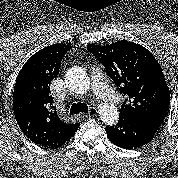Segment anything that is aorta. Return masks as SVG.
I'll return each instance as SVG.
<instances>
[{
  "instance_id": "762f6f07",
  "label": "aorta",
  "mask_w": 178,
  "mask_h": 178,
  "mask_svg": "<svg viewBox=\"0 0 178 178\" xmlns=\"http://www.w3.org/2000/svg\"><path fill=\"white\" fill-rule=\"evenodd\" d=\"M65 81L71 91L79 94L85 93L90 87L88 74L80 67L70 69L66 74ZM98 113L101 121L108 125L115 124L119 117L118 109L108 103L100 105Z\"/></svg>"
}]
</instances>
